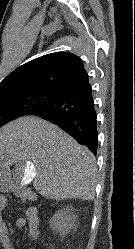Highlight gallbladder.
<instances>
[{"label": "gallbladder", "mask_w": 135, "mask_h": 249, "mask_svg": "<svg viewBox=\"0 0 135 249\" xmlns=\"http://www.w3.org/2000/svg\"><path fill=\"white\" fill-rule=\"evenodd\" d=\"M25 164H23V165H21V164H16L15 166H14V169H13V171L15 172V173H17L18 172V170H20V175H22L23 174V171H24V168H25V166H24ZM20 179H21V176H20ZM6 182L5 181H0V185L1 184H5Z\"/></svg>", "instance_id": "gallbladder-1"}]
</instances>
